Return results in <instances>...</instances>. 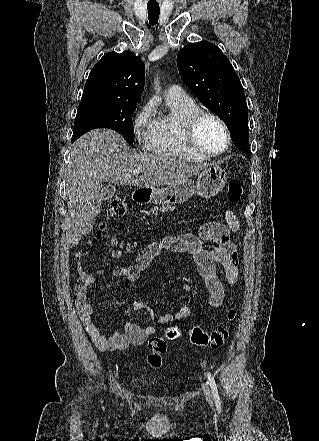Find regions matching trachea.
<instances>
[{
  "label": "trachea",
  "instance_id": "1",
  "mask_svg": "<svg viewBox=\"0 0 319 441\" xmlns=\"http://www.w3.org/2000/svg\"><path fill=\"white\" fill-rule=\"evenodd\" d=\"M149 23L154 26L158 23L160 8L159 6H147Z\"/></svg>",
  "mask_w": 319,
  "mask_h": 441
}]
</instances>
